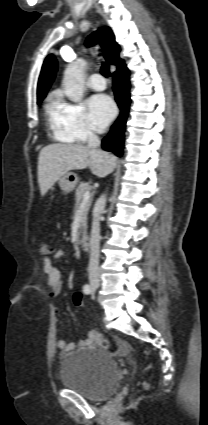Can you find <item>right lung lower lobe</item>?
I'll return each mask as SVG.
<instances>
[{
    "instance_id": "1",
    "label": "right lung lower lobe",
    "mask_w": 208,
    "mask_h": 425,
    "mask_svg": "<svg viewBox=\"0 0 208 425\" xmlns=\"http://www.w3.org/2000/svg\"><path fill=\"white\" fill-rule=\"evenodd\" d=\"M113 77V90L116 102L121 109V114L112 126L108 136L103 139L102 148L120 157L123 153L124 130L130 104L129 70L126 66L119 68L114 72Z\"/></svg>"
}]
</instances>
